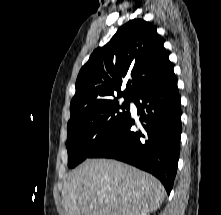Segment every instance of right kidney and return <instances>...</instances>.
<instances>
[{
	"label": "right kidney",
	"instance_id": "right-kidney-1",
	"mask_svg": "<svg viewBox=\"0 0 221 215\" xmlns=\"http://www.w3.org/2000/svg\"><path fill=\"white\" fill-rule=\"evenodd\" d=\"M140 215H149V214H146V213H142V214H140Z\"/></svg>",
	"mask_w": 221,
	"mask_h": 215
}]
</instances>
